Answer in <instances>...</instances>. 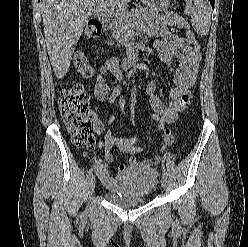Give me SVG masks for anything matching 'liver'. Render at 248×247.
<instances>
[{"instance_id":"obj_1","label":"liver","mask_w":248,"mask_h":247,"mask_svg":"<svg viewBox=\"0 0 248 247\" xmlns=\"http://www.w3.org/2000/svg\"><path fill=\"white\" fill-rule=\"evenodd\" d=\"M131 0H43L41 14L45 41L55 76L69 70L75 46L93 13L103 8L125 11Z\"/></svg>"}]
</instances>
